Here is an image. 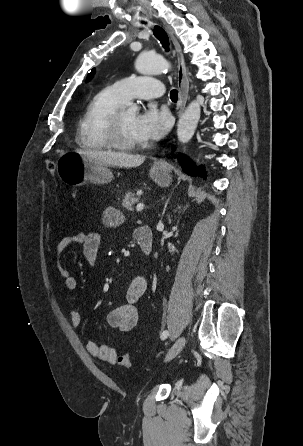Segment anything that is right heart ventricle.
I'll use <instances>...</instances> for the list:
<instances>
[{
  "label": "right heart ventricle",
  "instance_id": "1",
  "mask_svg": "<svg viewBox=\"0 0 303 446\" xmlns=\"http://www.w3.org/2000/svg\"><path fill=\"white\" fill-rule=\"evenodd\" d=\"M125 102L113 86L99 91L87 105L78 123L77 144L86 150L111 148L106 133L108 120Z\"/></svg>",
  "mask_w": 303,
  "mask_h": 446
}]
</instances>
